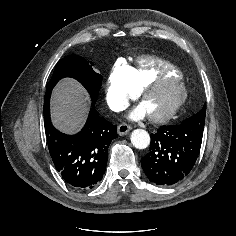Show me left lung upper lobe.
<instances>
[{"mask_svg": "<svg viewBox=\"0 0 236 236\" xmlns=\"http://www.w3.org/2000/svg\"><path fill=\"white\" fill-rule=\"evenodd\" d=\"M205 115H206V104L198 113L184 120L182 124L204 129Z\"/></svg>", "mask_w": 236, "mask_h": 236, "instance_id": "1", "label": "left lung upper lobe"}]
</instances>
